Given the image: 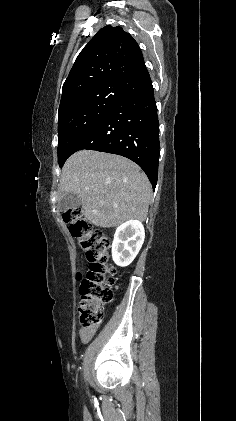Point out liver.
<instances>
[{
    "mask_svg": "<svg viewBox=\"0 0 236 421\" xmlns=\"http://www.w3.org/2000/svg\"><path fill=\"white\" fill-rule=\"evenodd\" d=\"M78 194L82 213L96 227H119L125 221H145L151 184L133 160L98 150H78L67 158L59 196Z\"/></svg>",
    "mask_w": 236,
    "mask_h": 421,
    "instance_id": "liver-1",
    "label": "liver"
}]
</instances>
